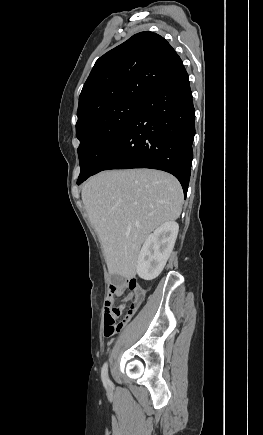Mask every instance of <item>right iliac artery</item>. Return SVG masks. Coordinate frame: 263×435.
Returning <instances> with one entry per match:
<instances>
[{
	"label": "right iliac artery",
	"instance_id": "obj_1",
	"mask_svg": "<svg viewBox=\"0 0 263 435\" xmlns=\"http://www.w3.org/2000/svg\"><path fill=\"white\" fill-rule=\"evenodd\" d=\"M101 378H102L103 384H104L105 386H107L108 383H109V378H108V365H107V363H105V364L103 365V367H102Z\"/></svg>",
	"mask_w": 263,
	"mask_h": 435
}]
</instances>
